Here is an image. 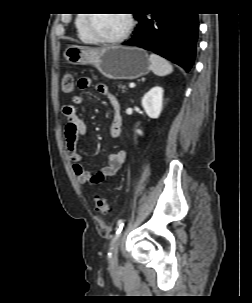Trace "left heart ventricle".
<instances>
[{
	"label": "left heart ventricle",
	"instance_id": "b2bd125f",
	"mask_svg": "<svg viewBox=\"0 0 252 303\" xmlns=\"http://www.w3.org/2000/svg\"><path fill=\"white\" fill-rule=\"evenodd\" d=\"M128 20L126 14H93L90 28L101 36H116L122 33Z\"/></svg>",
	"mask_w": 252,
	"mask_h": 303
}]
</instances>
